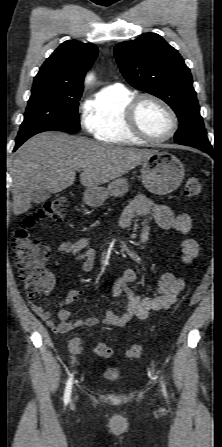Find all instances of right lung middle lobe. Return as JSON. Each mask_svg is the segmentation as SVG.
Here are the masks:
<instances>
[{
	"instance_id": "1",
	"label": "right lung middle lobe",
	"mask_w": 222,
	"mask_h": 447,
	"mask_svg": "<svg viewBox=\"0 0 222 447\" xmlns=\"http://www.w3.org/2000/svg\"><path fill=\"white\" fill-rule=\"evenodd\" d=\"M81 95H65L53 88H32L24 121L16 145L43 131L74 132L80 130L78 105Z\"/></svg>"
}]
</instances>
